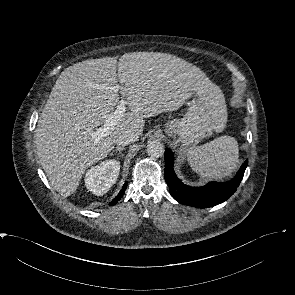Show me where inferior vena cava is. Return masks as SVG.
Returning a JSON list of instances; mask_svg holds the SVG:
<instances>
[{
  "label": "inferior vena cava",
  "mask_w": 295,
  "mask_h": 295,
  "mask_svg": "<svg viewBox=\"0 0 295 295\" xmlns=\"http://www.w3.org/2000/svg\"><path fill=\"white\" fill-rule=\"evenodd\" d=\"M139 138L137 133L134 132H126L123 133L121 135H119L116 139H115V143L119 146H125L128 145L132 142L137 141Z\"/></svg>",
  "instance_id": "inferior-vena-cava-1"
}]
</instances>
